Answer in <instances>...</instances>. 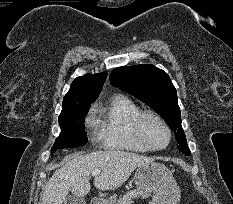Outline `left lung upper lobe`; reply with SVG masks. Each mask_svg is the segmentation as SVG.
Here are the masks:
<instances>
[{"label":"left lung upper lobe","instance_id":"obj_1","mask_svg":"<svg viewBox=\"0 0 233 204\" xmlns=\"http://www.w3.org/2000/svg\"><path fill=\"white\" fill-rule=\"evenodd\" d=\"M109 79L113 86L139 98L159 113L175 131L178 149L190 155L181 127L177 92L168 74L153 65L122 66L114 69Z\"/></svg>","mask_w":233,"mask_h":204}]
</instances>
